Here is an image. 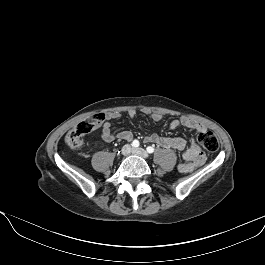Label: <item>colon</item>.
Returning <instances> with one entry per match:
<instances>
[{
	"mask_svg": "<svg viewBox=\"0 0 265 265\" xmlns=\"http://www.w3.org/2000/svg\"><path fill=\"white\" fill-rule=\"evenodd\" d=\"M103 120V114H96L91 118L79 123L66 135V144L71 148L80 147L83 144L84 136L100 125ZM198 139L202 147L209 152H215L219 147L218 138L212 131L201 132Z\"/></svg>",
	"mask_w": 265,
	"mask_h": 265,
	"instance_id": "obj_1",
	"label": "colon"
}]
</instances>
